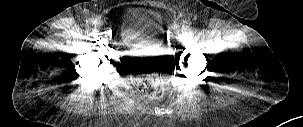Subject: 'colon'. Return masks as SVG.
Wrapping results in <instances>:
<instances>
[{
	"label": "colon",
	"mask_w": 303,
	"mask_h": 127,
	"mask_svg": "<svg viewBox=\"0 0 303 127\" xmlns=\"http://www.w3.org/2000/svg\"><path fill=\"white\" fill-rule=\"evenodd\" d=\"M133 72L136 75V86L153 97L164 94L165 88L162 77L166 72L161 60H143L138 62Z\"/></svg>",
	"instance_id": "colon-1"
}]
</instances>
